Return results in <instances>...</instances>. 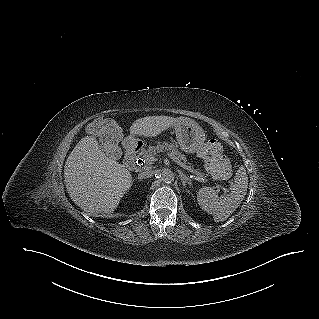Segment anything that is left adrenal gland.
<instances>
[{
	"instance_id": "left-adrenal-gland-1",
	"label": "left adrenal gland",
	"mask_w": 319,
	"mask_h": 319,
	"mask_svg": "<svg viewBox=\"0 0 319 319\" xmlns=\"http://www.w3.org/2000/svg\"><path fill=\"white\" fill-rule=\"evenodd\" d=\"M179 176L181 178L183 186L186 188V185L188 184L191 186V180L184 174L183 172L179 171Z\"/></svg>"
}]
</instances>
